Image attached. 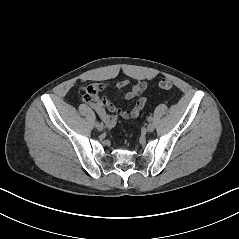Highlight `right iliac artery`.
I'll use <instances>...</instances> for the list:
<instances>
[{"instance_id":"obj_1","label":"right iliac artery","mask_w":239,"mask_h":239,"mask_svg":"<svg viewBox=\"0 0 239 239\" xmlns=\"http://www.w3.org/2000/svg\"><path fill=\"white\" fill-rule=\"evenodd\" d=\"M98 124H99V122H98V121H96V122H95V126H97Z\"/></svg>"}]
</instances>
